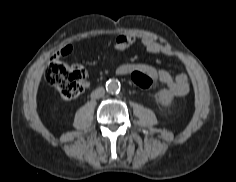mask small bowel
<instances>
[{
	"label": "small bowel",
	"instance_id": "1",
	"mask_svg": "<svg viewBox=\"0 0 236 182\" xmlns=\"http://www.w3.org/2000/svg\"><path fill=\"white\" fill-rule=\"evenodd\" d=\"M135 42L136 38L133 35H120L111 44V48L117 51H124L134 45ZM140 44L151 54H162L166 56H173L175 54L169 45L158 43L149 38L141 39ZM72 50V46L66 44L59 50L58 56L66 57L72 53ZM131 69L141 70L147 73L153 81L163 83L166 86L167 91L175 97L185 96L190 90L189 76L187 73L182 72L173 76L164 69H156L148 64H135L132 67H128L127 71ZM88 85L89 83L86 82V86Z\"/></svg>",
	"mask_w": 236,
	"mask_h": 182
}]
</instances>
